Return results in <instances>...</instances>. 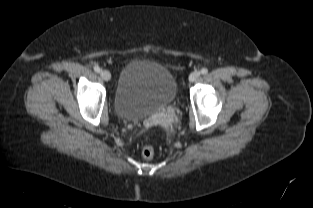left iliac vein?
Here are the masks:
<instances>
[{"instance_id":"1","label":"left iliac vein","mask_w":313,"mask_h":208,"mask_svg":"<svg viewBox=\"0 0 313 208\" xmlns=\"http://www.w3.org/2000/svg\"><path fill=\"white\" fill-rule=\"evenodd\" d=\"M200 72L199 71H194V72H192L191 74H190V76H189V81L190 82H194V81H196L199 77H200Z\"/></svg>"}]
</instances>
